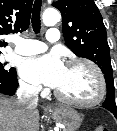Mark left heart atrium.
Listing matches in <instances>:
<instances>
[{
	"label": "left heart atrium",
	"mask_w": 117,
	"mask_h": 131,
	"mask_svg": "<svg viewBox=\"0 0 117 131\" xmlns=\"http://www.w3.org/2000/svg\"><path fill=\"white\" fill-rule=\"evenodd\" d=\"M65 66L57 54L24 59L20 64V74L34 83H42L57 88L64 75Z\"/></svg>",
	"instance_id": "obj_1"
}]
</instances>
